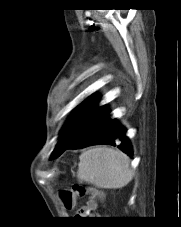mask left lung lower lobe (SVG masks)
Instances as JSON below:
<instances>
[{"mask_svg":"<svg viewBox=\"0 0 181 227\" xmlns=\"http://www.w3.org/2000/svg\"><path fill=\"white\" fill-rule=\"evenodd\" d=\"M120 133L121 125L115 119H111L107 108L102 106L92 115L82 132L70 144L64 147L60 154L68 148L107 144L117 146L129 156H132V147L128 138L120 136ZM118 140L121 143L117 145Z\"/></svg>","mask_w":181,"mask_h":227,"instance_id":"obj_1","label":"left lung lower lobe"}]
</instances>
